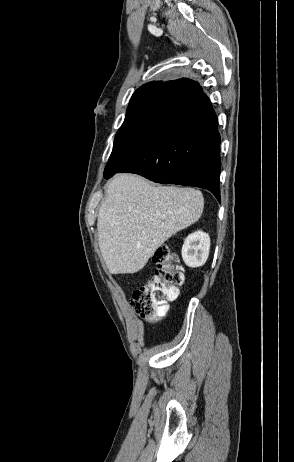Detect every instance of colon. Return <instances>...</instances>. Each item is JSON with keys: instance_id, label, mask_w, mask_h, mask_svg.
Here are the masks:
<instances>
[{"instance_id": "obj_1", "label": "colon", "mask_w": 294, "mask_h": 462, "mask_svg": "<svg viewBox=\"0 0 294 462\" xmlns=\"http://www.w3.org/2000/svg\"><path fill=\"white\" fill-rule=\"evenodd\" d=\"M154 273L132 296L130 306L147 322H156L167 312V301L177 298L184 282L183 267L168 247H159L154 255Z\"/></svg>"}]
</instances>
